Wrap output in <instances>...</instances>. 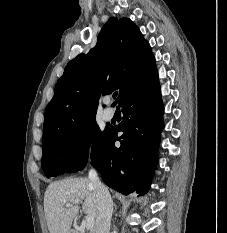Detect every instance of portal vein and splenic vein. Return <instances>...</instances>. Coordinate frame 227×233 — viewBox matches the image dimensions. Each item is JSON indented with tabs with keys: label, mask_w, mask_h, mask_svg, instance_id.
I'll use <instances>...</instances> for the list:
<instances>
[{
	"label": "portal vein and splenic vein",
	"mask_w": 227,
	"mask_h": 233,
	"mask_svg": "<svg viewBox=\"0 0 227 233\" xmlns=\"http://www.w3.org/2000/svg\"><path fill=\"white\" fill-rule=\"evenodd\" d=\"M79 201H75L74 203L77 204ZM66 207H70V203H66ZM85 227L88 230H91L94 227V217L91 215H87L85 219Z\"/></svg>",
	"instance_id": "18ae733b"
}]
</instances>
